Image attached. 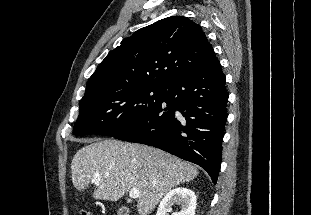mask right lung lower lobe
Wrapping results in <instances>:
<instances>
[{
    "label": "right lung lower lobe",
    "instance_id": "1",
    "mask_svg": "<svg viewBox=\"0 0 311 215\" xmlns=\"http://www.w3.org/2000/svg\"><path fill=\"white\" fill-rule=\"evenodd\" d=\"M219 60L163 86L161 104L114 138L160 148L204 168L217 182L228 93Z\"/></svg>",
    "mask_w": 311,
    "mask_h": 215
}]
</instances>
